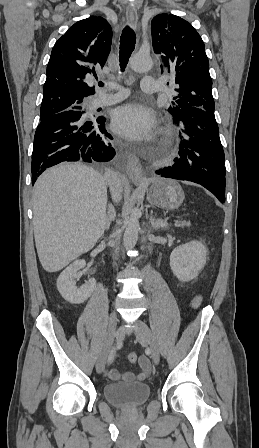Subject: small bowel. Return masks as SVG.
<instances>
[{"instance_id":"obj_1","label":"small bowel","mask_w":259,"mask_h":448,"mask_svg":"<svg viewBox=\"0 0 259 448\" xmlns=\"http://www.w3.org/2000/svg\"><path fill=\"white\" fill-rule=\"evenodd\" d=\"M199 301H200L199 298L196 299L195 305H197ZM139 366L141 370L139 374H134L129 371L120 373L117 370H110L108 371L107 375L111 380H119L122 377L127 382L143 381L149 376L151 372V363L149 358L146 356H141L139 358Z\"/></svg>"}]
</instances>
